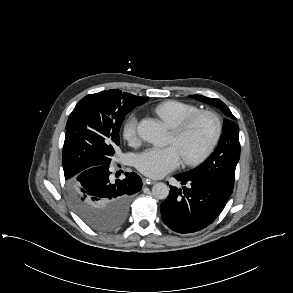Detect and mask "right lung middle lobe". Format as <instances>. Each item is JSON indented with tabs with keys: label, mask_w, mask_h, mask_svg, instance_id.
<instances>
[{
	"label": "right lung middle lobe",
	"mask_w": 293,
	"mask_h": 293,
	"mask_svg": "<svg viewBox=\"0 0 293 293\" xmlns=\"http://www.w3.org/2000/svg\"><path fill=\"white\" fill-rule=\"evenodd\" d=\"M143 103L138 96L112 89L85 96L68 118L62 155L68 192L78 215L95 229L113 230L124 217L88 211L77 189V176L89 167L111 163L125 115Z\"/></svg>",
	"instance_id": "obj_1"
}]
</instances>
